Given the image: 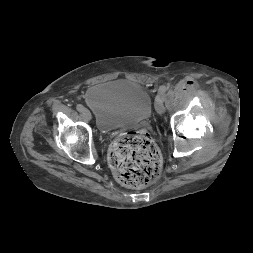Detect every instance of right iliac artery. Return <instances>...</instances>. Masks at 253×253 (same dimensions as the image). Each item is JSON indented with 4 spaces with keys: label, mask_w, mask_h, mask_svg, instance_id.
Segmentation results:
<instances>
[{
    "label": "right iliac artery",
    "mask_w": 253,
    "mask_h": 253,
    "mask_svg": "<svg viewBox=\"0 0 253 253\" xmlns=\"http://www.w3.org/2000/svg\"><path fill=\"white\" fill-rule=\"evenodd\" d=\"M76 109L79 111V112H83V110L85 109L84 106L82 104H78L76 106Z\"/></svg>",
    "instance_id": "82829eb1"
}]
</instances>
